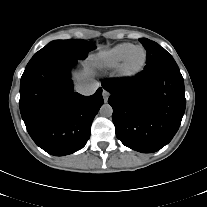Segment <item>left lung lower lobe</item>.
I'll use <instances>...</instances> for the list:
<instances>
[{"instance_id":"left-lung-lower-lobe-1","label":"left lung lower lobe","mask_w":207,"mask_h":207,"mask_svg":"<svg viewBox=\"0 0 207 207\" xmlns=\"http://www.w3.org/2000/svg\"><path fill=\"white\" fill-rule=\"evenodd\" d=\"M102 86L111 95L117 138L127 147L152 153L176 134L185 112L183 77L174 60L135 77L109 78Z\"/></svg>"}]
</instances>
